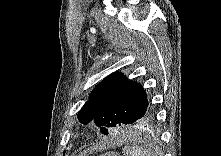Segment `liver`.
I'll return each instance as SVG.
<instances>
[{
    "instance_id": "liver-1",
    "label": "liver",
    "mask_w": 221,
    "mask_h": 156,
    "mask_svg": "<svg viewBox=\"0 0 221 156\" xmlns=\"http://www.w3.org/2000/svg\"><path fill=\"white\" fill-rule=\"evenodd\" d=\"M101 149H102V147H100V146H95V147L90 148V149L88 150V152L91 153V152H93V151H98V150H101ZM86 154H87V153H86Z\"/></svg>"
}]
</instances>
